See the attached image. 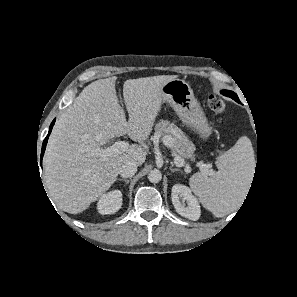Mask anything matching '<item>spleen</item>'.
<instances>
[{"instance_id":"obj_1","label":"spleen","mask_w":297,"mask_h":297,"mask_svg":"<svg viewBox=\"0 0 297 297\" xmlns=\"http://www.w3.org/2000/svg\"><path fill=\"white\" fill-rule=\"evenodd\" d=\"M254 150L248 137L216 160L218 171L213 177L196 173L190 178V187L202 205L216 217L234 211L244 198L254 171Z\"/></svg>"}]
</instances>
